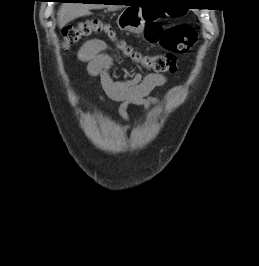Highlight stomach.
<instances>
[{
	"instance_id": "1",
	"label": "stomach",
	"mask_w": 259,
	"mask_h": 266,
	"mask_svg": "<svg viewBox=\"0 0 259 266\" xmlns=\"http://www.w3.org/2000/svg\"><path fill=\"white\" fill-rule=\"evenodd\" d=\"M118 27L121 30L130 31L132 33H140L144 29V22L142 21L140 11L135 8L125 9L117 20Z\"/></svg>"
}]
</instances>
